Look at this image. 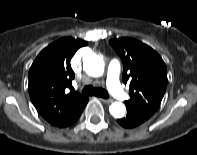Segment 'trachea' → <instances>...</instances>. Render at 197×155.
<instances>
[{
    "label": "trachea",
    "mask_w": 197,
    "mask_h": 155,
    "mask_svg": "<svg viewBox=\"0 0 197 155\" xmlns=\"http://www.w3.org/2000/svg\"><path fill=\"white\" fill-rule=\"evenodd\" d=\"M82 93L85 95H89V96H98V97H102V98H108L109 94L106 90H104L103 88H95L93 86H86L84 87V89L82 90Z\"/></svg>",
    "instance_id": "obj_1"
}]
</instances>
